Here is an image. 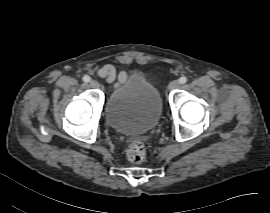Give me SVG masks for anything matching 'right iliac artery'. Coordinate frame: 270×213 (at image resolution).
Masks as SVG:
<instances>
[{"label":"right iliac artery","instance_id":"1","mask_svg":"<svg viewBox=\"0 0 270 213\" xmlns=\"http://www.w3.org/2000/svg\"><path fill=\"white\" fill-rule=\"evenodd\" d=\"M83 81H84V82H89V81H90V77L87 76V75H85V76L83 77Z\"/></svg>","mask_w":270,"mask_h":213}]
</instances>
